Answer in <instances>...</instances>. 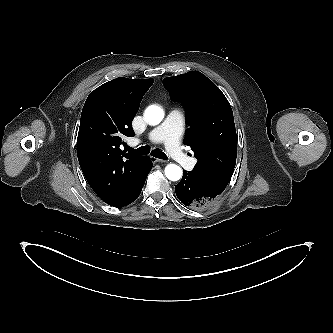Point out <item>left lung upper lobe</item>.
Instances as JSON below:
<instances>
[{
	"mask_svg": "<svg viewBox=\"0 0 333 333\" xmlns=\"http://www.w3.org/2000/svg\"><path fill=\"white\" fill-rule=\"evenodd\" d=\"M172 100L188 109L185 144L197 158L192 176L220 194L234 171L237 134L231 106L220 91L200 72H188L163 80Z\"/></svg>",
	"mask_w": 333,
	"mask_h": 333,
	"instance_id": "5c2ea615",
	"label": "left lung upper lobe"
}]
</instances>
